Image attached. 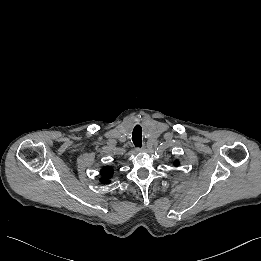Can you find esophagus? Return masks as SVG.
Segmentation results:
<instances>
[{
  "mask_svg": "<svg viewBox=\"0 0 261 261\" xmlns=\"http://www.w3.org/2000/svg\"><path fill=\"white\" fill-rule=\"evenodd\" d=\"M137 151H139V152H145L146 151V148H145V146H143L141 149H137Z\"/></svg>",
  "mask_w": 261,
  "mask_h": 261,
  "instance_id": "1",
  "label": "esophagus"
}]
</instances>
